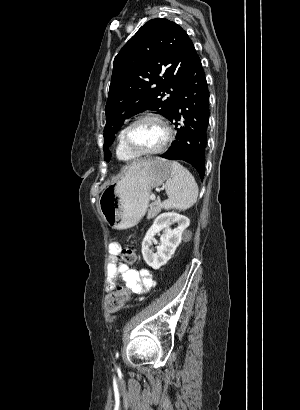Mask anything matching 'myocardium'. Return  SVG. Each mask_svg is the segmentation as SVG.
<instances>
[{
  "instance_id": "myocardium-1",
  "label": "myocardium",
  "mask_w": 300,
  "mask_h": 410,
  "mask_svg": "<svg viewBox=\"0 0 300 410\" xmlns=\"http://www.w3.org/2000/svg\"><path fill=\"white\" fill-rule=\"evenodd\" d=\"M147 119H152V120H156L158 121L164 128L166 136L165 139L163 141V143L156 149L154 150H140L137 149L135 146L132 145V143L129 140V133L131 131V129L139 122L143 121V120H147ZM173 138V131L171 126L169 125L168 121L160 114L157 113H145L142 114L138 117H136L132 122H130L123 131V143L125 145V147L131 151L133 154H135L136 156H152V155H157L162 153L170 144V142L172 141Z\"/></svg>"
}]
</instances>
